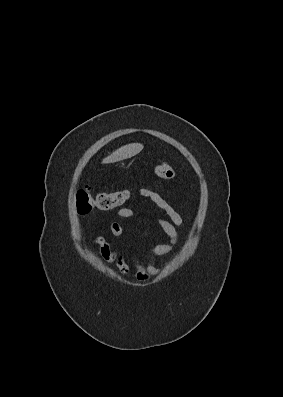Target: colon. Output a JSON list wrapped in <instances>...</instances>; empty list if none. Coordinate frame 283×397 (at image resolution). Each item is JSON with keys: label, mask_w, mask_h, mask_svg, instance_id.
I'll use <instances>...</instances> for the list:
<instances>
[{"label": "colon", "mask_w": 283, "mask_h": 397, "mask_svg": "<svg viewBox=\"0 0 283 397\" xmlns=\"http://www.w3.org/2000/svg\"><path fill=\"white\" fill-rule=\"evenodd\" d=\"M154 174L158 179L168 180L175 177L174 168L168 163L155 166ZM129 198L128 190L92 194L88 189H80L76 193V205L80 214H86L92 209L112 210L121 207Z\"/></svg>", "instance_id": "obj_1"}]
</instances>
